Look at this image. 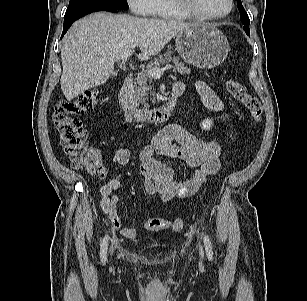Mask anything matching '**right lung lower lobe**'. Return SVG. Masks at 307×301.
I'll return each mask as SVG.
<instances>
[{"label": "right lung lower lobe", "mask_w": 307, "mask_h": 301, "mask_svg": "<svg viewBox=\"0 0 307 301\" xmlns=\"http://www.w3.org/2000/svg\"><path fill=\"white\" fill-rule=\"evenodd\" d=\"M99 11H109V12H116L118 10H99ZM95 12V11H93ZM91 12H88V13H85V14H81V15H77V16H73V17H70V18H67V19H64V27H63V33H62V36H64V34L67 32V30L69 29V27L71 26V24L76 21L77 19L89 14Z\"/></svg>", "instance_id": "1"}]
</instances>
